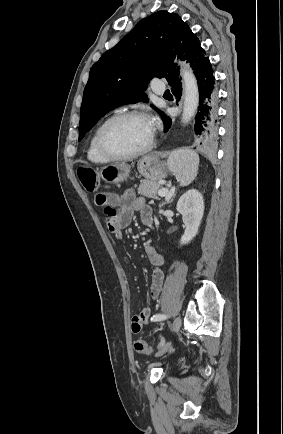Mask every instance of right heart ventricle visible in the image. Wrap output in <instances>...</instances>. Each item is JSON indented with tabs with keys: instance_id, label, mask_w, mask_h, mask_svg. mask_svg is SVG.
I'll return each instance as SVG.
<instances>
[{
	"instance_id": "obj_1",
	"label": "right heart ventricle",
	"mask_w": 283,
	"mask_h": 434,
	"mask_svg": "<svg viewBox=\"0 0 283 434\" xmlns=\"http://www.w3.org/2000/svg\"><path fill=\"white\" fill-rule=\"evenodd\" d=\"M100 127V126H99ZM98 127V128H99ZM97 128V129H98ZM97 129L94 131L93 135L90 138L88 149H87V157L92 163L96 164H105L108 163L110 160L103 157L97 150L95 145V133Z\"/></svg>"
}]
</instances>
